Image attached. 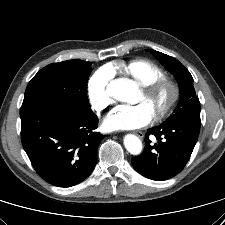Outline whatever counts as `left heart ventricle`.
<instances>
[{
	"label": "left heart ventricle",
	"mask_w": 225,
	"mask_h": 225,
	"mask_svg": "<svg viewBox=\"0 0 225 225\" xmlns=\"http://www.w3.org/2000/svg\"><path fill=\"white\" fill-rule=\"evenodd\" d=\"M165 97H166L165 94H161L157 96L155 100H149L144 96L143 92H141L138 102L147 103L148 105H150L153 111H155L156 106L161 104L165 100Z\"/></svg>",
	"instance_id": "obj_1"
}]
</instances>
